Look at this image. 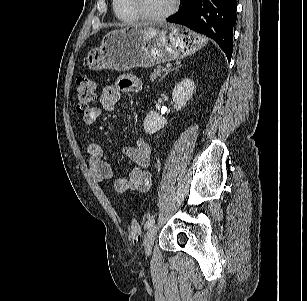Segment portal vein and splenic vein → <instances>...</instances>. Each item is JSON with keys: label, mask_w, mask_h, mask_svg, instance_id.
<instances>
[{"label": "portal vein and splenic vein", "mask_w": 307, "mask_h": 301, "mask_svg": "<svg viewBox=\"0 0 307 301\" xmlns=\"http://www.w3.org/2000/svg\"><path fill=\"white\" fill-rule=\"evenodd\" d=\"M171 66H172V65H171L170 63L166 64V67H167V68H171Z\"/></svg>", "instance_id": "obj_1"}]
</instances>
